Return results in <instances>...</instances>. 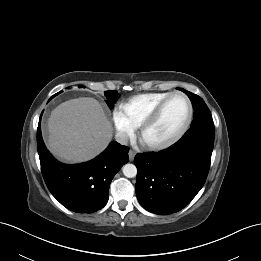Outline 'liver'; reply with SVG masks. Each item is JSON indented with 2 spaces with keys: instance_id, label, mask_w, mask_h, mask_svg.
Segmentation results:
<instances>
[{
  "instance_id": "obj_1",
  "label": "liver",
  "mask_w": 261,
  "mask_h": 261,
  "mask_svg": "<svg viewBox=\"0 0 261 261\" xmlns=\"http://www.w3.org/2000/svg\"><path fill=\"white\" fill-rule=\"evenodd\" d=\"M48 129L52 153L73 163L88 161L100 154L113 133L100 103L87 97L58 105L51 112Z\"/></svg>"
}]
</instances>
